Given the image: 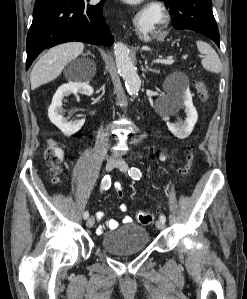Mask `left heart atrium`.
Wrapping results in <instances>:
<instances>
[{
    "label": "left heart atrium",
    "instance_id": "39dd6f15",
    "mask_svg": "<svg viewBox=\"0 0 247 299\" xmlns=\"http://www.w3.org/2000/svg\"><path fill=\"white\" fill-rule=\"evenodd\" d=\"M127 1H138V0H127Z\"/></svg>",
    "mask_w": 247,
    "mask_h": 299
}]
</instances>
